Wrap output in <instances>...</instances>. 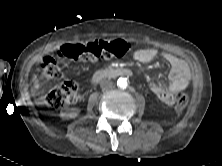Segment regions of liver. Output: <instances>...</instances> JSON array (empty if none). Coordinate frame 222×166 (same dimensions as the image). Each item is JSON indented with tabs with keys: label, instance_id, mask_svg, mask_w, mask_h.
<instances>
[{
	"label": "liver",
	"instance_id": "6515ba94",
	"mask_svg": "<svg viewBox=\"0 0 222 166\" xmlns=\"http://www.w3.org/2000/svg\"><path fill=\"white\" fill-rule=\"evenodd\" d=\"M33 80H34V88L39 89L40 83H39V80L37 79L36 75H34Z\"/></svg>",
	"mask_w": 222,
	"mask_h": 166
}]
</instances>
